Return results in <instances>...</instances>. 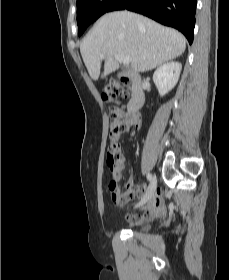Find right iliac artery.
Returning <instances> with one entry per match:
<instances>
[{
    "label": "right iliac artery",
    "mask_w": 229,
    "mask_h": 280,
    "mask_svg": "<svg viewBox=\"0 0 229 280\" xmlns=\"http://www.w3.org/2000/svg\"><path fill=\"white\" fill-rule=\"evenodd\" d=\"M147 179H148V181L152 180V175L150 173L147 174Z\"/></svg>",
    "instance_id": "1"
}]
</instances>
